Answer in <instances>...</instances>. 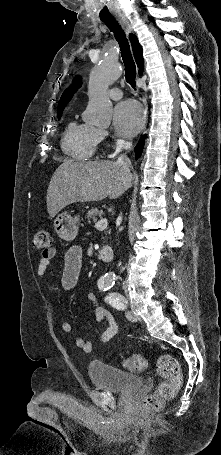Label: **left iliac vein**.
<instances>
[{
	"label": "left iliac vein",
	"mask_w": 221,
	"mask_h": 455,
	"mask_svg": "<svg viewBox=\"0 0 221 455\" xmlns=\"http://www.w3.org/2000/svg\"><path fill=\"white\" fill-rule=\"evenodd\" d=\"M125 315H126V318L131 321V322H137L138 321V317L136 315L133 314L132 311L130 310H127L125 312Z\"/></svg>",
	"instance_id": "obj_1"
}]
</instances>
